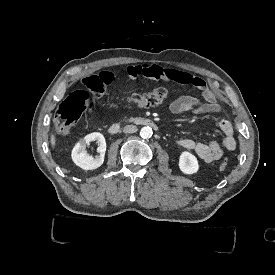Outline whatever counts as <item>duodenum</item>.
Instances as JSON below:
<instances>
[{"mask_svg": "<svg viewBox=\"0 0 275 275\" xmlns=\"http://www.w3.org/2000/svg\"><path fill=\"white\" fill-rule=\"evenodd\" d=\"M125 124H133V125H136V126H147V127H150L154 130L158 129L157 124L151 118L139 117V118H135V119L128 120V121H120V122L111 124L108 127V133L112 134V135L118 133L119 130L121 129V127Z\"/></svg>", "mask_w": 275, "mask_h": 275, "instance_id": "410a0bca", "label": "duodenum"}]
</instances>
